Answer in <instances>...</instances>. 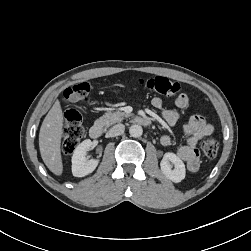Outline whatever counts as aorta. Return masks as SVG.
<instances>
[{
	"instance_id": "aorta-1",
	"label": "aorta",
	"mask_w": 251,
	"mask_h": 251,
	"mask_svg": "<svg viewBox=\"0 0 251 251\" xmlns=\"http://www.w3.org/2000/svg\"><path fill=\"white\" fill-rule=\"evenodd\" d=\"M129 133L132 137L138 138L142 135L143 129L140 125L135 124L129 128Z\"/></svg>"
}]
</instances>
